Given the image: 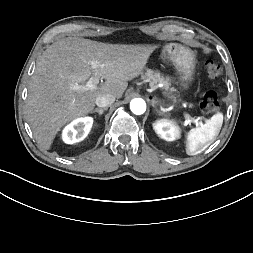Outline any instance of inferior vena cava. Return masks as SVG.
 <instances>
[{"instance_id":"obj_1","label":"inferior vena cava","mask_w":253,"mask_h":253,"mask_svg":"<svg viewBox=\"0 0 253 253\" xmlns=\"http://www.w3.org/2000/svg\"><path fill=\"white\" fill-rule=\"evenodd\" d=\"M115 101V97L111 94H102L96 98V105L99 107H108Z\"/></svg>"}]
</instances>
